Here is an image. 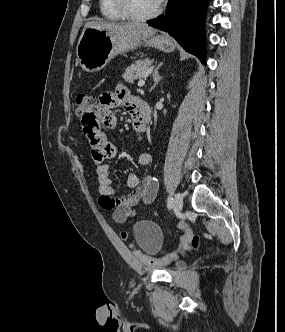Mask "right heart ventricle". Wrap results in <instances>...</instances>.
<instances>
[{
    "instance_id": "e07e8e85",
    "label": "right heart ventricle",
    "mask_w": 285,
    "mask_h": 332,
    "mask_svg": "<svg viewBox=\"0 0 285 332\" xmlns=\"http://www.w3.org/2000/svg\"><path fill=\"white\" fill-rule=\"evenodd\" d=\"M101 15L109 21H123L126 17L118 10L115 0H99Z\"/></svg>"
}]
</instances>
